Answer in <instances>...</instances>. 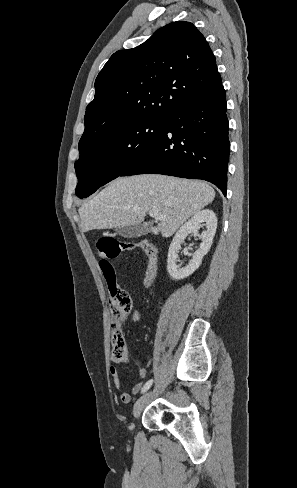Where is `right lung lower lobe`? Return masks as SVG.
Listing matches in <instances>:
<instances>
[{"mask_svg": "<svg viewBox=\"0 0 297 488\" xmlns=\"http://www.w3.org/2000/svg\"><path fill=\"white\" fill-rule=\"evenodd\" d=\"M226 110L221 81L170 116L156 141L120 176L151 173L203 179L226 195L230 152Z\"/></svg>", "mask_w": 297, "mask_h": 488, "instance_id": "98d812e1", "label": "right lung lower lobe"}]
</instances>
